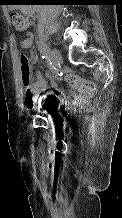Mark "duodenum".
<instances>
[{
  "mask_svg": "<svg viewBox=\"0 0 122 218\" xmlns=\"http://www.w3.org/2000/svg\"><path fill=\"white\" fill-rule=\"evenodd\" d=\"M35 10H36L35 8H32V9H31V12H33V13H34V12H35Z\"/></svg>",
  "mask_w": 122,
  "mask_h": 218,
  "instance_id": "duodenum-1",
  "label": "duodenum"
}]
</instances>
